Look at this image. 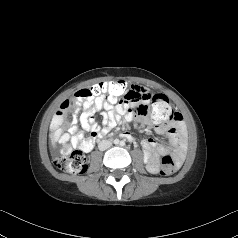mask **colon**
<instances>
[{
  "mask_svg": "<svg viewBox=\"0 0 238 238\" xmlns=\"http://www.w3.org/2000/svg\"><path fill=\"white\" fill-rule=\"evenodd\" d=\"M129 91L127 84L123 81L105 80L89 88L77 91L73 101H91L101 99L108 102H121ZM138 111V109H137ZM151 117L158 122H169L174 119L176 112L168 100L162 94H157L152 98ZM56 167L67 173L82 174L87 170V157L83 149L79 148L69 151L55 159ZM177 162L170 154H165L161 160L160 174L171 175L176 171Z\"/></svg>",
  "mask_w": 238,
  "mask_h": 238,
  "instance_id": "1",
  "label": "colon"
}]
</instances>
